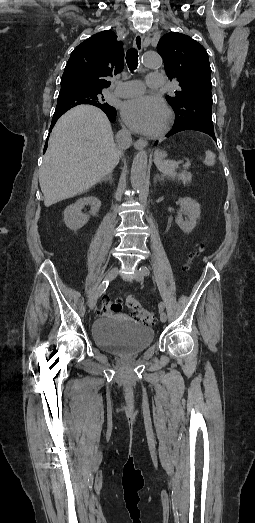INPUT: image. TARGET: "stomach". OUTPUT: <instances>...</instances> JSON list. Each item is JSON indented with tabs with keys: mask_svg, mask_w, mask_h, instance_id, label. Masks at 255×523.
<instances>
[{
	"mask_svg": "<svg viewBox=\"0 0 255 523\" xmlns=\"http://www.w3.org/2000/svg\"><path fill=\"white\" fill-rule=\"evenodd\" d=\"M156 156H157V158H163L162 152H157Z\"/></svg>",
	"mask_w": 255,
	"mask_h": 523,
	"instance_id": "1",
	"label": "stomach"
}]
</instances>
